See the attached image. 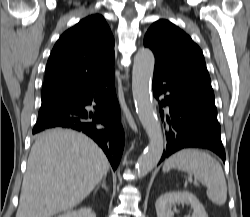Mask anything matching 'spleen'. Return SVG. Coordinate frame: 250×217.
<instances>
[{
    "instance_id": "spleen-1",
    "label": "spleen",
    "mask_w": 250,
    "mask_h": 217,
    "mask_svg": "<svg viewBox=\"0 0 250 217\" xmlns=\"http://www.w3.org/2000/svg\"><path fill=\"white\" fill-rule=\"evenodd\" d=\"M175 168L188 173L207 187V197L218 206L225 204L227 185L220 163L210 154L198 149H183L170 156L163 171Z\"/></svg>"
}]
</instances>
